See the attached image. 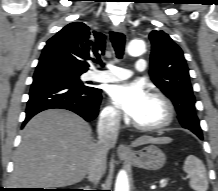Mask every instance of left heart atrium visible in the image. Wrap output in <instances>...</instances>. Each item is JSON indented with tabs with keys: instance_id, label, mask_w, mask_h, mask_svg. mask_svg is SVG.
<instances>
[{
	"instance_id": "39dd6f15",
	"label": "left heart atrium",
	"mask_w": 218,
	"mask_h": 191,
	"mask_svg": "<svg viewBox=\"0 0 218 191\" xmlns=\"http://www.w3.org/2000/svg\"><path fill=\"white\" fill-rule=\"evenodd\" d=\"M111 101L128 117L135 120L150 94L141 82L113 86L109 91Z\"/></svg>"
}]
</instances>
